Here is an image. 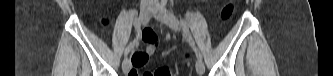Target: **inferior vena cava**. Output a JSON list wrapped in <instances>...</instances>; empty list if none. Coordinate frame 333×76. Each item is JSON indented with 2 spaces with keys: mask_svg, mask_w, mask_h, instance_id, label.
<instances>
[{
  "mask_svg": "<svg viewBox=\"0 0 333 76\" xmlns=\"http://www.w3.org/2000/svg\"><path fill=\"white\" fill-rule=\"evenodd\" d=\"M146 1H148V0H143V2H146Z\"/></svg>",
  "mask_w": 333,
  "mask_h": 76,
  "instance_id": "1",
  "label": "inferior vena cava"
}]
</instances>
